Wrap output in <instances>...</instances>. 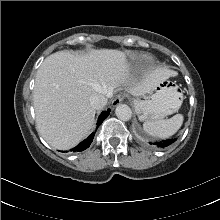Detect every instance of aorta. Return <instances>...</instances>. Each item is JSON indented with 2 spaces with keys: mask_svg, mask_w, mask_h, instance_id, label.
<instances>
[{
  "mask_svg": "<svg viewBox=\"0 0 220 220\" xmlns=\"http://www.w3.org/2000/svg\"><path fill=\"white\" fill-rule=\"evenodd\" d=\"M115 114L122 121H128L132 117L131 108L126 104H119L115 109Z\"/></svg>",
  "mask_w": 220,
  "mask_h": 220,
  "instance_id": "1",
  "label": "aorta"
}]
</instances>
